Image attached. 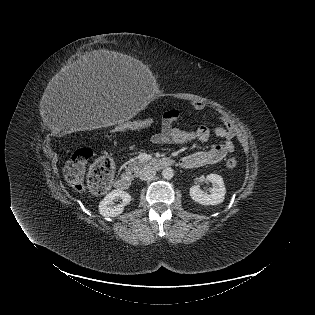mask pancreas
I'll use <instances>...</instances> for the list:
<instances>
[{"mask_svg":"<svg viewBox=\"0 0 315 315\" xmlns=\"http://www.w3.org/2000/svg\"><path fill=\"white\" fill-rule=\"evenodd\" d=\"M126 165H128V166L126 167V170H127V171H137V170L140 169V167L143 165V163L134 160V161H128V162L126 163Z\"/></svg>","mask_w":315,"mask_h":315,"instance_id":"1","label":"pancreas"}]
</instances>
